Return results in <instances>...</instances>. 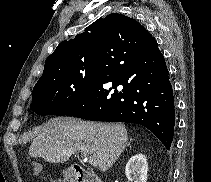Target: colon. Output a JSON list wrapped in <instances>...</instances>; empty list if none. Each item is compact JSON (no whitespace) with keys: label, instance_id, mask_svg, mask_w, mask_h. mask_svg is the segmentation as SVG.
Returning <instances> with one entry per match:
<instances>
[{"label":"colon","instance_id":"obj_1","mask_svg":"<svg viewBox=\"0 0 211 182\" xmlns=\"http://www.w3.org/2000/svg\"><path fill=\"white\" fill-rule=\"evenodd\" d=\"M42 172V166L39 163H32L31 173L35 176L40 175Z\"/></svg>","mask_w":211,"mask_h":182}]
</instances>
